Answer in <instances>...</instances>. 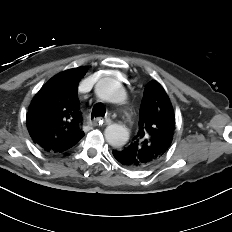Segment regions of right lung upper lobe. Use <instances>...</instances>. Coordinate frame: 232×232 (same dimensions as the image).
Returning a JSON list of instances; mask_svg holds the SVG:
<instances>
[{"label":"right lung upper lobe","mask_w":232,"mask_h":232,"mask_svg":"<svg viewBox=\"0 0 232 232\" xmlns=\"http://www.w3.org/2000/svg\"><path fill=\"white\" fill-rule=\"evenodd\" d=\"M87 67L69 69L52 77L34 96L26 116L33 142L48 153H62L83 137L77 87Z\"/></svg>","instance_id":"cb5924a9"}]
</instances>
